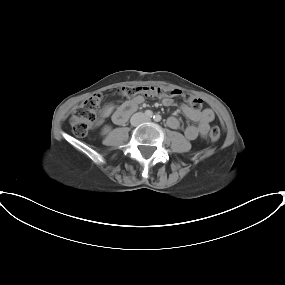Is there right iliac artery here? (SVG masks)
<instances>
[{"label":"right iliac artery","instance_id":"1","mask_svg":"<svg viewBox=\"0 0 285 285\" xmlns=\"http://www.w3.org/2000/svg\"><path fill=\"white\" fill-rule=\"evenodd\" d=\"M145 115L149 118H151L153 116V112L151 110H146L145 111Z\"/></svg>","mask_w":285,"mask_h":285}]
</instances>
